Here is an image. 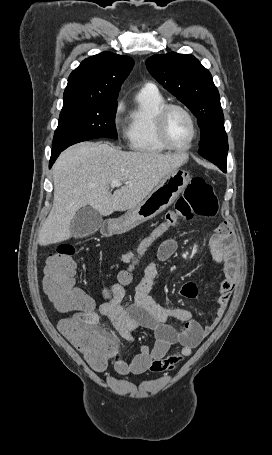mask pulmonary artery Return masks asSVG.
Wrapping results in <instances>:
<instances>
[{"label": "pulmonary artery", "instance_id": "pulmonary-artery-1", "mask_svg": "<svg viewBox=\"0 0 272 455\" xmlns=\"http://www.w3.org/2000/svg\"><path fill=\"white\" fill-rule=\"evenodd\" d=\"M143 88H148V89H156V86L152 83H147Z\"/></svg>", "mask_w": 272, "mask_h": 455}]
</instances>
